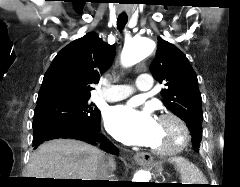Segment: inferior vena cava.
<instances>
[{
    "instance_id": "obj_1",
    "label": "inferior vena cava",
    "mask_w": 240,
    "mask_h": 187,
    "mask_svg": "<svg viewBox=\"0 0 240 187\" xmlns=\"http://www.w3.org/2000/svg\"><path fill=\"white\" fill-rule=\"evenodd\" d=\"M108 169V164L104 162L100 168V173L97 180H107L109 178Z\"/></svg>"
}]
</instances>
